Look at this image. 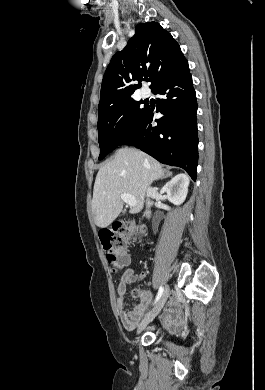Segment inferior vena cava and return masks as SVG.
I'll use <instances>...</instances> for the list:
<instances>
[{"instance_id": "inferior-vena-cava-1", "label": "inferior vena cava", "mask_w": 265, "mask_h": 390, "mask_svg": "<svg viewBox=\"0 0 265 390\" xmlns=\"http://www.w3.org/2000/svg\"><path fill=\"white\" fill-rule=\"evenodd\" d=\"M154 194H155V189L152 187H148L147 192H146V196H147L146 211L144 213L147 218H150V215H151L150 207L152 206L153 202L150 201V198H153Z\"/></svg>"}]
</instances>
